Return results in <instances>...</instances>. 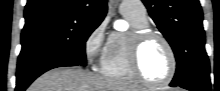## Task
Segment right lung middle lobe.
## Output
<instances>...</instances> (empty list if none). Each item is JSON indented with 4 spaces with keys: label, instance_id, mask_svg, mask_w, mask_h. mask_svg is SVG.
<instances>
[{
    "label": "right lung middle lobe",
    "instance_id": "obj_1",
    "mask_svg": "<svg viewBox=\"0 0 220 91\" xmlns=\"http://www.w3.org/2000/svg\"><path fill=\"white\" fill-rule=\"evenodd\" d=\"M100 22L56 17L25 24L18 63L59 55L86 66L85 42Z\"/></svg>",
    "mask_w": 220,
    "mask_h": 91
}]
</instances>
